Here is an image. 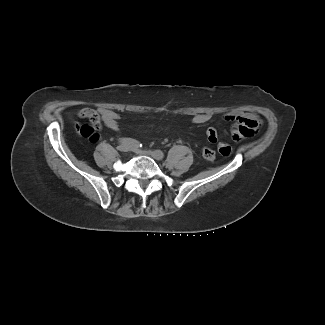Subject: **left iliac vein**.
I'll return each instance as SVG.
<instances>
[{
	"mask_svg": "<svg viewBox=\"0 0 325 325\" xmlns=\"http://www.w3.org/2000/svg\"><path fill=\"white\" fill-rule=\"evenodd\" d=\"M131 150L134 151L137 154L150 156L155 160H161L159 158L158 154L156 153V151L140 150V149H137V148H131Z\"/></svg>",
	"mask_w": 325,
	"mask_h": 325,
	"instance_id": "left-iliac-vein-1",
	"label": "left iliac vein"
}]
</instances>
